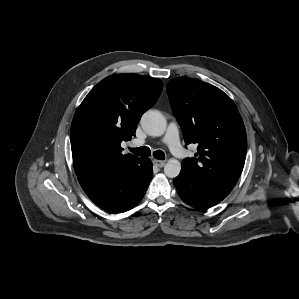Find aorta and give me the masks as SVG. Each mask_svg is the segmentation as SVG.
Masks as SVG:
<instances>
[{"instance_id":"aorta-1","label":"aorta","mask_w":299,"mask_h":299,"mask_svg":"<svg viewBox=\"0 0 299 299\" xmlns=\"http://www.w3.org/2000/svg\"><path fill=\"white\" fill-rule=\"evenodd\" d=\"M141 126L150 136H162L167 127L166 119L157 110H148L141 117ZM181 171V163L177 159H169L164 167V173L169 178H175Z\"/></svg>"}]
</instances>
